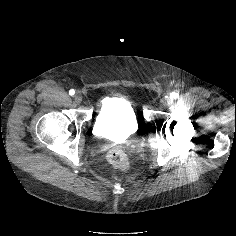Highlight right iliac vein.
Instances as JSON below:
<instances>
[{
	"instance_id": "1",
	"label": "right iliac vein",
	"mask_w": 236,
	"mask_h": 236,
	"mask_svg": "<svg viewBox=\"0 0 236 236\" xmlns=\"http://www.w3.org/2000/svg\"><path fill=\"white\" fill-rule=\"evenodd\" d=\"M74 100H75V102L76 103H81L82 102V94L81 93H79V92H77L76 94H75V96H74Z\"/></svg>"
}]
</instances>
